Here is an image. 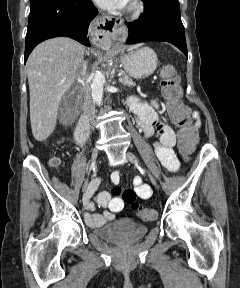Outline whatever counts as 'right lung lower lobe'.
<instances>
[{
    "label": "right lung lower lobe",
    "instance_id": "98d812e1",
    "mask_svg": "<svg viewBox=\"0 0 240 288\" xmlns=\"http://www.w3.org/2000/svg\"><path fill=\"white\" fill-rule=\"evenodd\" d=\"M98 14L91 0H47L30 10L25 44V62L40 42L59 36L90 46L88 26Z\"/></svg>",
    "mask_w": 240,
    "mask_h": 288
}]
</instances>
